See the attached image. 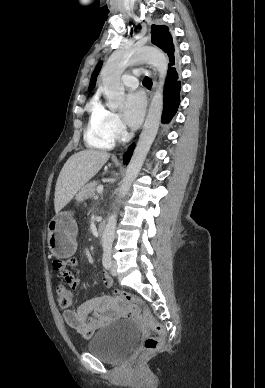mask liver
Wrapping results in <instances>:
<instances>
[{"label": "liver", "instance_id": "1", "mask_svg": "<svg viewBox=\"0 0 265 388\" xmlns=\"http://www.w3.org/2000/svg\"><path fill=\"white\" fill-rule=\"evenodd\" d=\"M110 156L108 152L83 150L67 160L58 176L55 188L56 214H59L60 210L73 200L80 188H83L93 176H96Z\"/></svg>", "mask_w": 265, "mask_h": 388}]
</instances>
